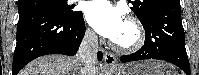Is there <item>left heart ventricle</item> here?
Wrapping results in <instances>:
<instances>
[{
    "instance_id": "left-heart-ventricle-1",
    "label": "left heart ventricle",
    "mask_w": 199,
    "mask_h": 75,
    "mask_svg": "<svg viewBox=\"0 0 199 75\" xmlns=\"http://www.w3.org/2000/svg\"><path fill=\"white\" fill-rule=\"evenodd\" d=\"M135 38V32L133 28L126 23L121 35L118 37L116 42L121 44H129L131 43Z\"/></svg>"
}]
</instances>
